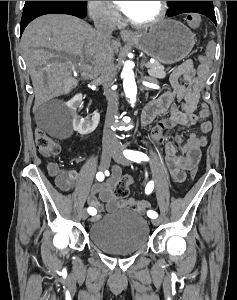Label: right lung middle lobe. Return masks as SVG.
<instances>
[{"instance_id":"1","label":"right lung middle lobe","mask_w":237,"mask_h":300,"mask_svg":"<svg viewBox=\"0 0 237 300\" xmlns=\"http://www.w3.org/2000/svg\"><path fill=\"white\" fill-rule=\"evenodd\" d=\"M85 1H25L23 8V15L26 16L40 8L59 5V4H71V3H83Z\"/></svg>"}]
</instances>
